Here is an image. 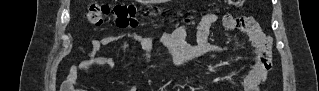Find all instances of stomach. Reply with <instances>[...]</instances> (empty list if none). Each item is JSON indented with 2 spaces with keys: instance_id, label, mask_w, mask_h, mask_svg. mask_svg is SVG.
Wrapping results in <instances>:
<instances>
[{
  "instance_id": "stomach-1",
  "label": "stomach",
  "mask_w": 319,
  "mask_h": 91,
  "mask_svg": "<svg viewBox=\"0 0 319 91\" xmlns=\"http://www.w3.org/2000/svg\"><path fill=\"white\" fill-rule=\"evenodd\" d=\"M162 1L163 0H142V2L147 3V4L159 3Z\"/></svg>"
}]
</instances>
